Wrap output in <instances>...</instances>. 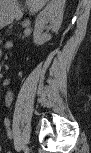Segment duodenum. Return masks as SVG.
Segmentation results:
<instances>
[{
    "instance_id": "duodenum-1",
    "label": "duodenum",
    "mask_w": 91,
    "mask_h": 153,
    "mask_svg": "<svg viewBox=\"0 0 91 153\" xmlns=\"http://www.w3.org/2000/svg\"><path fill=\"white\" fill-rule=\"evenodd\" d=\"M15 13H13V15H14ZM24 37L25 38H28L29 37V35H30V33H31V29L29 28V27H26L25 29H24Z\"/></svg>"
}]
</instances>
